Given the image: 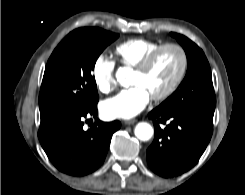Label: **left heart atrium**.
Returning a JSON list of instances; mask_svg holds the SVG:
<instances>
[{
    "label": "left heart atrium",
    "instance_id": "1",
    "mask_svg": "<svg viewBox=\"0 0 245 195\" xmlns=\"http://www.w3.org/2000/svg\"><path fill=\"white\" fill-rule=\"evenodd\" d=\"M150 98V94L143 86L134 85L103 101L101 112L110 119H130L147 106Z\"/></svg>",
    "mask_w": 245,
    "mask_h": 195
}]
</instances>
